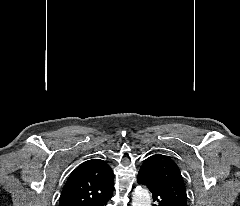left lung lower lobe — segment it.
<instances>
[{"instance_id":"1","label":"left lung lower lobe","mask_w":240,"mask_h":206,"mask_svg":"<svg viewBox=\"0 0 240 206\" xmlns=\"http://www.w3.org/2000/svg\"><path fill=\"white\" fill-rule=\"evenodd\" d=\"M137 181L139 184L146 185L152 193L153 206H178L171 197L156 183L149 170L141 167Z\"/></svg>"}]
</instances>
